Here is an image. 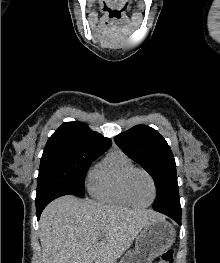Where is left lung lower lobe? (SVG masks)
I'll list each match as a JSON object with an SVG mask.
<instances>
[{"label": "left lung lower lobe", "instance_id": "1", "mask_svg": "<svg viewBox=\"0 0 220 263\" xmlns=\"http://www.w3.org/2000/svg\"><path fill=\"white\" fill-rule=\"evenodd\" d=\"M161 213L171 217L177 223L181 224V211L179 210H163Z\"/></svg>", "mask_w": 220, "mask_h": 263}]
</instances>
